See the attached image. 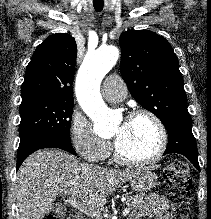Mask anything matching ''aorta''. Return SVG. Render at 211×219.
I'll use <instances>...</instances> for the list:
<instances>
[{"instance_id":"aorta-1","label":"aorta","mask_w":211,"mask_h":219,"mask_svg":"<svg viewBox=\"0 0 211 219\" xmlns=\"http://www.w3.org/2000/svg\"><path fill=\"white\" fill-rule=\"evenodd\" d=\"M119 50L115 46L100 47L89 52L76 78L77 99L94 122V131L100 137L113 135L118 117L110 111L100 95V83L116 64Z\"/></svg>"}]
</instances>
